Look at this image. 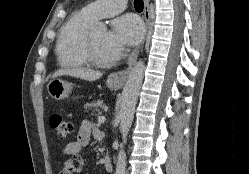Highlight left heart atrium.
I'll use <instances>...</instances> for the list:
<instances>
[{"instance_id":"obj_1","label":"left heart atrium","mask_w":249,"mask_h":174,"mask_svg":"<svg viewBox=\"0 0 249 174\" xmlns=\"http://www.w3.org/2000/svg\"><path fill=\"white\" fill-rule=\"evenodd\" d=\"M142 25L134 16H123L113 23L108 33V45L112 60L123 56L128 46L135 45L142 36Z\"/></svg>"}]
</instances>
